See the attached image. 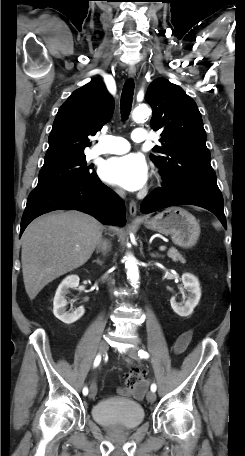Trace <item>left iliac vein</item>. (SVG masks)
I'll return each instance as SVG.
<instances>
[{"label": "left iliac vein", "instance_id": "left-iliac-vein-1", "mask_svg": "<svg viewBox=\"0 0 245 456\" xmlns=\"http://www.w3.org/2000/svg\"><path fill=\"white\" fill-rule=\"evenodd\" d=\"M127 355L134 359V360H138L139 357H138V347L137 346H133L132 348H130L128 351H127ZM146 398L149 402H154L156 400V394L155 392L153 391H149L146 395Z\"/></svg>", "mask_w": 245, "mask_h": 456}]
</instances>
